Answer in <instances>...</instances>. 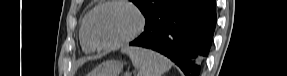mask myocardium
I'll return each instance as SVG.
<instances>
[{
    "instance_id": "myocardium-1",
    "label": "myocardium",
    "mask_w": 287,
    "mask_h": 76,
    "mask_svg": "<svg viewBox=\"0 0 287 76\" xmlns=\"http://www.w3.org/2000/svg\"><path fill=\"white\" fill-rule=\"evenodd\" d=\"M110 5H123V6L128 7L135 14L137 18V24L135 28L123 38L113 43L103 44V43L97 42L91 34V19L93 15L99 9L110 6ZM145 24H146V19H145L143 12L133 2L129 0H108V1H104L98 4L88 13V15L85 18V34H86L88 41L91 43V45L95 49L110 50V49L118 48L134 40L136 37H138L142 33V31L144 30Z\"/></svg>"
}]
</instances>
